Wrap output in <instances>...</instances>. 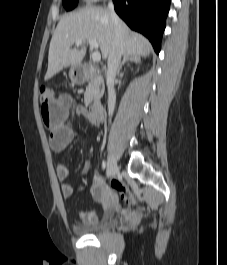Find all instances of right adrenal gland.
<instances>
[{"label":"right adrenal gland","mask_w":227,"mask_h":265,"mask_svg":"<svg viewBox=\"0 0 227 265\" xmlns=\"http://www.w3.org/2000/svg\"><path fill=\"white\" fill-rule=\"evenodd\" d=\"M126 62H139V56H137V55H125L123 57V61L121 62L120 66L118 68V71H117L118 74L120 73V70H121L122 66Z\"/></svg>","instance_id":"right-adrenal-gland-1"}]
</instances>
